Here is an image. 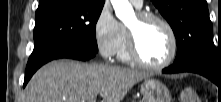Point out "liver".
Wrapping results in <instances>:
<instances>
[{
  "instance_id": "obj_1",
  "label": "liver",
  "mask_w": 221,
  "mask_h": 102,
  "mask_svg": "<svg viewBox=\"0 0 221 102\" xmlns=\"http://www.w3.org/2000/svg\"><path fill=\"white\" fill-rule=\"evenodd\" d=\"M145 72L108 66L52 61L40 68L27 84L24 102H91L100 94L102 102H121Z\"/></svg>"
}]
</instances>
